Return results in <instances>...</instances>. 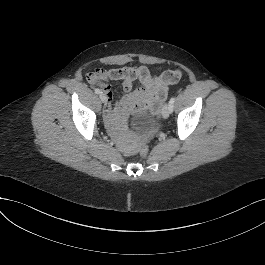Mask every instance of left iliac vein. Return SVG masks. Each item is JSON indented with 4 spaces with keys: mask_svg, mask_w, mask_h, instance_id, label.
<instances>
[{
    "mask_svg": "<svg viewBox=\"0 0 265 265\" xmlns=\"http://www.w3.org/2000/svg\"><path fill=\"white\" fill-rule=\"evenodd\" d=\"M170 114V109H169V104L164 105L163 110H162V116L164 119H167Z\"/></svg>",
    "mask_w": 265,
    "mask_h": 265,
    "instance_id": "left-iliac-vein-1",
    "label": "left iliac vein"
}]
</instances>
